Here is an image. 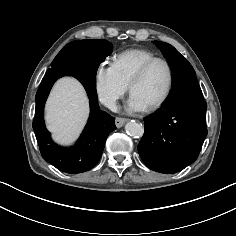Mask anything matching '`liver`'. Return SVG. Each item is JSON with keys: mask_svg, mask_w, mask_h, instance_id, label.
Listing matches in <instances>:
<instances>
[{"mask_svg": "<svg viewBox=\"0 0 236 236\" xmlns=\"http://www.w3.org/2000/svg\"><path fill=\"white\" fill-rule=\"evenodd\" d=\"M45 119L54 139L71 143L81 132L89 114V102L82 85L74 78H62L54 85L45 106Z\"/></svg>", "mask_w": 236, "mask_h": 236, "instance_id": "1", "label": "liver"}]
</instances>
